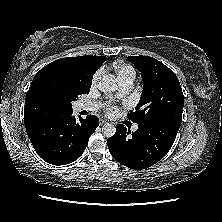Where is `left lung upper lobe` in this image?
Wrapping results in <instances>:
<instances>
[{
  "mask_svg": "<svg viewBox=\"0 0 222 222\" xmlns=\"http://www.w3.org/2000/svg\"><path fill=\"white\" fill-rule=\"evenodd\" d=\"M128 60L141 72L144 83L140 102L128 119L137 124L159 120L181 123L184 96L175 73L153 57L130 56Z\"/></svg>",
  "mask_w": 222,
  "mask_h": 222,
  "instance_id": "5c2ea615",
  "label": "left lung upper lobe"
}]
</instances>
